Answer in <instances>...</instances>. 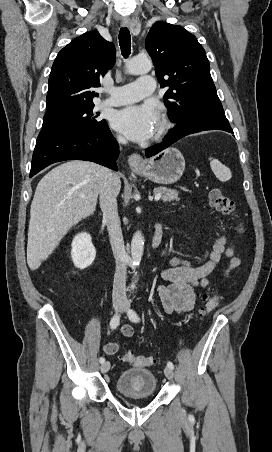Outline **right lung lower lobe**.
<instances>
[{
    "instance_id": "98d812e1",
    "label": "right lung lower lobe",
    "mask_w": 272,
    "mask_h": 452,
    "mask_svg": "<svg viewBox=\"0 0 272 452\" xmlns=\"http://www.w3.org/2000/svg\"><path fill=\"white\" fill-rule=\"evenodd\" d=\"M119 146L107 123L79 130L50 128L41 130L32 157L30 177L55 162L65 160L92 161L118 171Z\"/></svg>"
}]
</instances>
